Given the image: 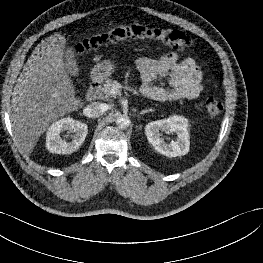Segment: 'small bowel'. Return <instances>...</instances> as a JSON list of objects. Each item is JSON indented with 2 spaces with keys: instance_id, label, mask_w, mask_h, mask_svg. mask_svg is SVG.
Instances as JSON below:
<instances>
[{
  "instance_id": "obj_1",
  "label": "small bowel",
  "mask_w": 263,
  "mask_h": 263,
  "mask_svg": "<svg viewBox=\"0 0 263 263\" xmlns=\"http://www.w3.org/2000/svg\"><path fill=\"white\" fill-rule=\"evenodd\" d=\"M136 67L142 79L141 94L156 101L195 99L202 92V74L190 58L170 52L158 59L138 57ZM167 78L169 88L157 85L158 79Z\"/></svg>"
}]
</instances>
